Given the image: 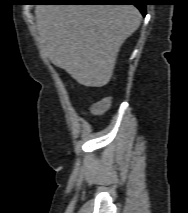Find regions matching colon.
Segmentation results:
<instances>
[{"mask_svg": "<svg viewBox=\"0 0 188 213\" xmlns=\"http://www.w3.org/2000/svg\"><path fill=\"white\" fill-rule=\"evenodd\" d=\"M110 103L111 101H110V98L108 97L98 99L97 101L92 103L90 107V111L93 114H102L103 112L108 110V108L110 107Z\"/></svg>", "mask_w": 188, "mask_h": 213, "instance_id": "colon-1", "label": "colon"}]
</instances>
